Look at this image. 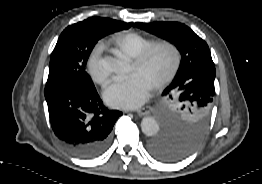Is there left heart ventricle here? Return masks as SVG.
<instances>
[{"mask_svg": "<svg viewBox=\"0 0 262 184\" xmlns=\"http://www.w3.org/2000/svg\"><path fill=\"white\" fill-rule=\"evenodd\" d=\"M173 61V52L162 47L155 50L143 66L133 63L130 73H140L153 86L169 72Z\"/></svg>", "mask_w": 262, "mask_h": 184, "instance_id": "obj_1", "label": "left heart ventricle"}]
</instances>
